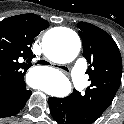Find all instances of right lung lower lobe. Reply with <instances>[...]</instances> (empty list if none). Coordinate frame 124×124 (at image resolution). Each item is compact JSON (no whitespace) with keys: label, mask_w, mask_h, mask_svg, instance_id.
<instances>
[{"label":"right lung lower lobe","mask_w":124,"mask_h":124,"mask_svg":"<svg viewBox=\"0 0 124 124\" xmlns=\"http://www.w3.org/2000/svg\"><path fill=\"white\" fill-rule=\"evenodd\" d=\"M31 91H21L0 96V117H9L23 109Z\"/></svg>","instance_id":"1"}]
</instances>
